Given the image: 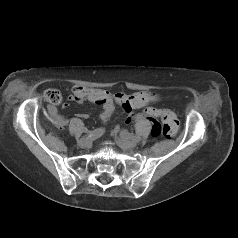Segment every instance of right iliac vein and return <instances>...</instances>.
<instances>
[{
  "label": "right iliac vein",
  "mask_w": 238,
  "mask_h": 238,
  "mask_svg": "<svg viewBox=\"0 0 238 238\" xmlns=\"http://www.w3.org/2000/svg\"><path fill=\"white\" fill-rule=\"evenodd\" d=\"M78 145L81 148H86L90 145V139L88 137H82L79 141H78Z\"/></svg>",
  "instance_id": "obj_1"
}]
</instances>
